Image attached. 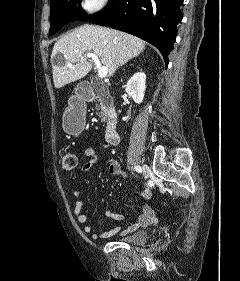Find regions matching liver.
Segmentation results:
<instances>
[{"label":"liver","instance_id":"6515ba94","mask_svg":"<svg viewBox=\"0 0 240 281\" xmlns=\"http://www.w3.org/2000/svg\"><path fill=\"white\" fill-rule=\"evenodd\" d=\"M145 49V42L133 35L94 25H82L59 39L52 50L53 82L59 89L85 77L92 69L86 55L92 51L113 75L118 66L138 56ZM62 54L65 65L55 62ZM69 65H72L70 67Z\"/></svg>","mask_w":240,"mask_h":281}]
</instances>
